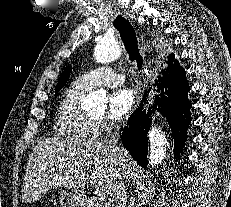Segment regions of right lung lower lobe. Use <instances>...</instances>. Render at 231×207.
<instances>
[{
  "label": "right lung lower lobe",
  "mask_w": 231,
  "mask_h": 207,
  "mask_svg": "<svg viewBox=\"0 0 231 207\" xmlns=\"http://www.w3.org/2000/svg\"><path fill=\"white\" fill-rule=\"evenodd\" d=\"M174 55H169V66L161 71V75L155 80L157 87L155 104L146 108V101L142 102L129 118L122 133V143L132 157L143 168L147 167L148 142L147 133L152 121L151 114L154 108L168 121L174 139V155L182 153L184 143L187 140V129L191 122V103L187 98L190 89L186 80L185 70L178 61L174 66L171 63ZM153 108V109H152Z\"/></svg>",
  "instance_id": "98d812e1"
}]
</instances>
